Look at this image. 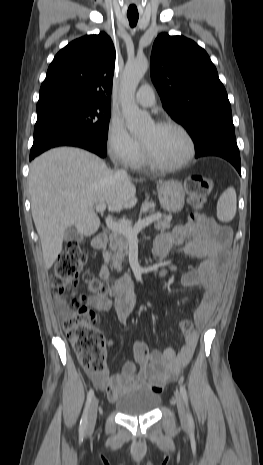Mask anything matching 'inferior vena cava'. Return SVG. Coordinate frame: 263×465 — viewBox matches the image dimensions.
<instances>
[{
	"mask_svg": "<svg viewBox=\"0 0 263 465\" xmlns=\"http://www.w3.org/2000/svg\"><path fill=\"white\" fill-rule=\"evenodd\" d=\"M113 161H114V163H115L117 175L120 176V177H128V174H127V171H126V170L117 168V164H116V162H115V158L113 159Z\"/></svg>",
	"mask_w": 263,
	"mask_h": 465,
	"instance_id": "602c4592",
	"label": "inferior vena cava"
}]
</instances>
